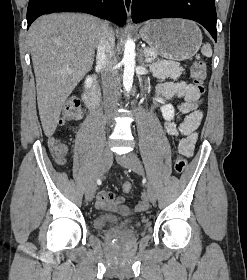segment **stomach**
Returning <instances> with one entry per match:
<instances>
[{
    "label": "stomach",
    "mask_w": 247,
    "mask_h": 280,
    "mask_svg": "<svg viewBox=\"0 0 247 280\" xmlns=\"http://www.w3.org/2000/svg\"><path fill=\"white\" fill-rule=\"evenodd\" d=\"M139 33L155 53L173 61L192 58L202 44L198 26L185 19L151 20L140 28Z\"/></svg>",
    "instance_id": "1"
}]
</instances>
